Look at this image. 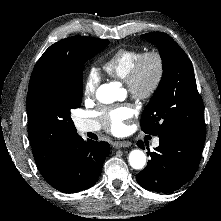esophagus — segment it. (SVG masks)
Segmentation results:
<instances>
[{"label": "esophagus", "mask_w": 221, "mask_h": 221, "mask_svg": "<svg viewBox=\"0 0 221 221\" xmlns=\"http://www.w3.org/2000/svg\"><path fill=\"white\" fill-rule=\"evenodd\" d=\"M113 147L116 149L129 147L131 145V142L129 141H114L112 143Z\"/></svg>", "instance_id": "esophagus-1"}]
</instances>
